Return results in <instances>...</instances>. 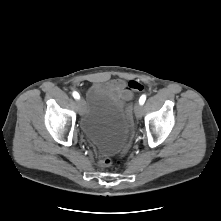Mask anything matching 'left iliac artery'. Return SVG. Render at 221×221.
I'll use <instances>...</instances> for the list:
<instances>
[{
	"label": "left iliac artery",
	"mask_w": 221,
	"mask_h": 221,
	"mask_svg": "<svg viewBox=\"0 0 221 221\" xmlns=\"http://www.w3.org/2000/svg\"><path fill=\"white\" fill-rule=\"evenodd\" d=\"M145 100H146V95H142V96L140 97V99H139V103H140L141 105H143L144 102H145Z\"/></svg>",
	"instance_id": "left-iliac-artery-1"
}]
</instances>
